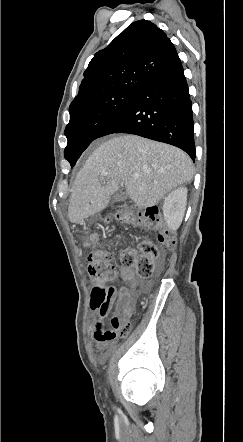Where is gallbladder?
Returning <instances> with one entry per match:
<instances>
[{
  "mask_svg": "<svg viewBox=\"0 0 243 442\" xmlns=\"http://www.w3.org/2000/svg\"><path fill=\"white\" fill-rule=\"evenodd\" d=\"M126 198H127V194H126L125 192L116 193V194L113 196V199H114L115 201H123V200H125Z\"/></svg>",
  "mask_w": 243,
  "mask_h": 442,
  "instance_id": "obj_1",
  "label": "gallbladder"
}]
</instances>
